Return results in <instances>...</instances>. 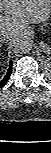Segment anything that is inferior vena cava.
Segmentation results:
<instances>
[{
    "instance_id": "602c4592",
    "label": "inferior vena cava",
    "mask_w": 51,
    "mask_h": 153,
    "mask_svg": "<svg viewBox=\"0 0 51 153\" xmlns=\"http://www.w3.org/2000/svg\"><path fill=\"white\" fill-rule=\"evenodd\" d=\"M11 39H12V34L3 33V32L0 34V41L2 43L8 42Z\"/></svg>"
}]
</instances>
